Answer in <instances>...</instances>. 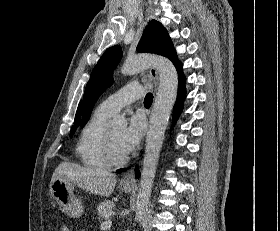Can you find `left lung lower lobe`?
<instances>
[{
    "label": "left lung lower lobe",
    "mask_w": 280,
    "mask_h": 231,
    "mask_svg": "<svg viewBox=\"0 0 280 231\" xmlns=\"http://www.w3.org/2000/svg\"><path fill=\"white\" fill-rule=\"evenodd\" d=\"M184 82H185V79H184L183 73L181 71V72H179L178 98H177L176 104L174 106V112H173L174 121L177 119L179 113L182 110L183 100H184V97L186 95V91H185V88H184ZM123 170L124 169H119L118 171L120 172V171H123ZM136 177L137 178L139 177L138 169H136Z\"/></svg>",
    "instance_id": "1"
}]
</instances>
